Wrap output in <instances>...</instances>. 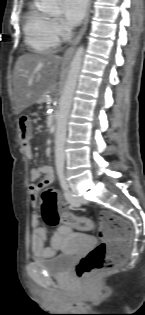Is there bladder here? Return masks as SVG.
I'll return each mask as SVG.
<instances>
[{
    "instance_id": "bladder-1",
    "label": "bladder",
    "mask_w": 145,
    "mask_h": 315,
    "mask_svg": "<svg viewBox=\"0 0 145 315\" xmlns=\"http://www.w3.org/2000/svg\"><path fill=\"white\" fill-rule=\"evenodd\" d=\"M90 249V248H75ZM75 256H65V252L55 255L47 260L36 259L48 274L56 277L65 276L74 265Z\"/></svg>"
}]
</instances>
